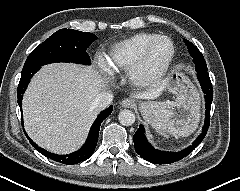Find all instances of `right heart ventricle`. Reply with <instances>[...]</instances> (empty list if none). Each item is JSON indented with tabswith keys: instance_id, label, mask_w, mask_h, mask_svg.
Returning <instances> with one entry per match:
<instances>
[{
	"instance_id": "1",
	"label": "right heart ventricle",
	"mask_w": 240,
	"mask_h": 191,
	"mask_svg": "<svg viewBox=\"0 0 240 191\" xmlns=\"http://www.w3.org/2000/svg\"><path fill=\"white\" fill-rule=\"evenodd\" d=\"M157 33H139L111 46L107 62L113 72L128 71Z\"/></svg>"
}]
</instances>
